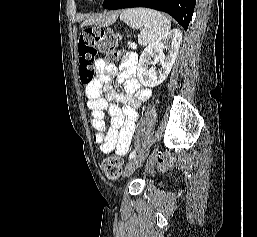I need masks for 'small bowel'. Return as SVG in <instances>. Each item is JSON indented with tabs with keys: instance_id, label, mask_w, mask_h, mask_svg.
<instances>
[{
	"instance_id": "c3829d8e",
	"label": "small bowel",
	"mask_w": 257,
	"mask_h": 237,
	"mask_svg": "<svg viewBox=\"0 0 257 237\" xmlns=\"http://www.w3.org/2000/svg\"><path fill=\"white\" fill-rule=\"evenodd\" d=\"M97 77L85 88L87 106L91 111L90 123L95 129L94 141L103 153L114 152L118 156L128 153L138 109L149 99L151 91L141 86L136 78V56L128 53L123 62V69L118 81L124 87V93L112 90L109 73L115 68L104 59L96 61ZM103 92L106 93L103 96ZM105 112L109 121H105Z\"/></svg>"
}]
</instances>
